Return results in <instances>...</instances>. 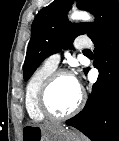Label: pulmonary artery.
Masks as SVG:
<instances>
[{"label": "pulmonary artery", "instance_id": "e3ab8cb5", "mask_svg": "<svg viewBox=\"0 0 119 141\" xmlns=\"http://www.w3.org/2000/svg\"><path fill=\"white\" fill-rule=\"evenodd\" d=\"M90 46H91V42L89 40H84V41H81V42L77 41L75 43L76 49H84V48H88ZM46 63L50 66L57 68V66L60 63V54L56 53V54L49 56L46 59Z\"/></svg>", "mask_w": 119, "mask_h": 141}]
</instances>
